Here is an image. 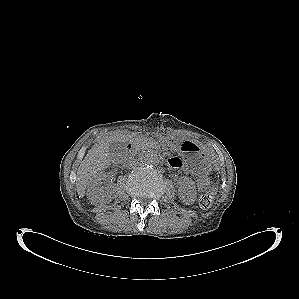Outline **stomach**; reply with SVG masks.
<instances>
[{"mask_svg": "<svg viewBox=\"0 0 299 299\" xmlns=\"http://www.w3.org/2000/svg\"><path fill=\"white\" fill-rule=\"evenodd\" d=\"M163 141L180 151L186 158V163L190 169L202 173L209 167L211 158L209 153L198 143L191 140H180L173 137H166Z\"/></svg>", "mask_w": 299, "mask_h": 299, "instance_id": "0dacf381", "label": "stomach"}]
</instances>
